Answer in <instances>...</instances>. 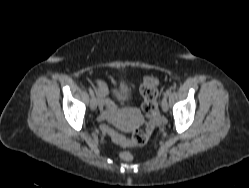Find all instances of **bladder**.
Returning <instances> with one entry per match:
<instances>
[{"mask_svg":"<svg viewBox=\"0 0 249 188\" xmlns=\"http://www.w3.org/2000/svg\"><path fill=\"white\" fill-rule=\"evenodd\" d=\"M117 94L119 98L124 102V103H129L130 102V94L129 91L126 88H120L117 90Z\"/></svg>","mask_w":249,"mask_h":188,"instance_id":"bladder-1","label":"bladder"}]
</instances>
